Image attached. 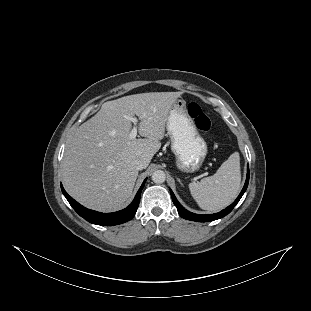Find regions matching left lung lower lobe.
I'll use <instances>...</instances> for the list:
<instances>
[{"label": "left lung lower lobe", "mask_w": 311, "mask_h": 311, "mask_svg": "<svg viewBox=\"0 0 311 311\" xmlns=\"http://www.w3.org/2000/svg\"><path fill=\"white\" fill-rule=\"evenodd\" d=\"M248 182H249V166H247V177H246L244 187L241 193L239 194V196L237 197V199L230 206H228L226 209L222 210L221 212L215 213V214H209V215H199V214H194L192 212H189L178 202V200L176 199L171 189H170V192H171L172 200L175 206L177 207L178 213L180 214L181 217L187 220H192V221H197V222H208V221H213V220L222 218L226 216L227 214H229L234 208V206L239 202L243 194L245 193L247 186H248Z\"/></svg>", "instance_id": "1"}]
</instances>
